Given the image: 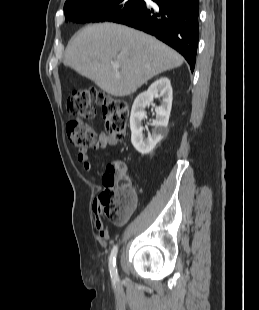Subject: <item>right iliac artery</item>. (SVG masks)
Returning a JSON list of instances; mask_svg holds the SVG:
<instances>
[{"instance_id": "obj_1", "label": "right iliac artery", "mask_w": 259, "mask_h": 310, "mask_svg": "<svg viewBox=\"0 0 259 310\" xmlns=\"http://www.w3.org/2000/svg\"><path fill=\"white\" fill-rule=\"evenodd\" d=\"M117 252H118V247L114 246L111 251L110 257H109V271H110L111 278L114 281L118 280V273H117V268H116Z\"/></svg>"}]
</instances>
